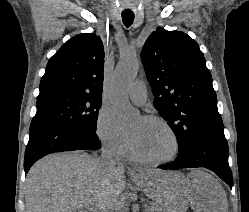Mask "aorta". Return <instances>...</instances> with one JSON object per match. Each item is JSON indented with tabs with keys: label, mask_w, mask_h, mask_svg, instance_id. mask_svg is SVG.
Returning a JSON list of instances; mask_svg holds the SVG:
<instances>
[{
	"label": "aorta",
	"mask_w": 249,
	"mask_h": 212,
	"mask_svg": "<svg viewBox=\"0 0 249 212\" xmlns=\"http://www.w3.org/2000/svg\"><path fill=\"white\" fill-rule=\"evenodd\" d=\"M138 68L136 60H122L117 64L112 78L109 99L115 115L123 122L137 115V111L128 100V88L134 82Z\"/></svg>",
	"instance_id": "aorta-1"
}]
</instances>
